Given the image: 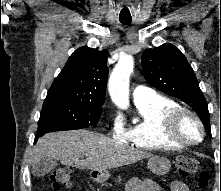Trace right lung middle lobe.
I'll list each match as a JSON object with an SVG mask.
<instances>
[{"mask_svg":"<svg viewBox=\"0 0 221 191\" xmlns=\"http://www.w3.org/2000/svg\"><path fill=\"white\" fill-rule=\"evenodd\" d=\"M102 106L85 103L43 105L38 122L37 136L47 132L75 130L97 124Z\"/></svg>","mask_w":221,"mask_h":191,"instance_id":"obj_1","label":"right lung middle lobe"}]
</instances>
